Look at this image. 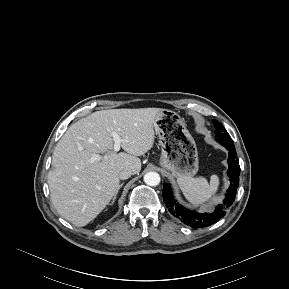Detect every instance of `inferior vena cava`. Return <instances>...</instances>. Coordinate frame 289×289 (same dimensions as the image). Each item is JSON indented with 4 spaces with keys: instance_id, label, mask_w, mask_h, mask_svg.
I'll use <instances>...</instances> for the list:
<instances>
[{
    "instance_id": "1",
    "label": "inferior vena cava",
    "mask_w": 289,
    "mask_h": 289,
    "mask_svg": "<svg viewBox=\"0 0 289 289\" xmlns=\"http://www.w3.org/2000/svg\"><path fill=\"white\" fill-rule=\"evenodd\" d=\"M132 174L133 172L131 169L125 168L119 172L118 176L121 180H125L128 179Z\"/></svg>"
}]
</instances>
